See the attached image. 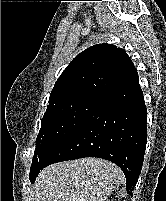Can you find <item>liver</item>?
<instances>
[{"label": "liver", "instance_id": "6515ba94", "mask_svg": "<svg viewBox=\"0 0 166 201\" xmlns=\"http://www.w3.org/2000/svg\"><path fill=\"white\" fill-rule=\"evenodd\" d=\"M122 170L99 158L60 162L44 168L34 185L35 201H106L124 182Z\"/></svg>", "mask_w": 166, "mask_h": 201}]
</instances>
